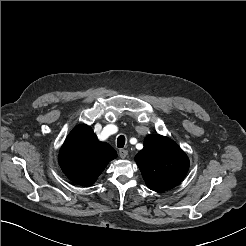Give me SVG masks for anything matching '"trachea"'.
Listing matches in <instances>:
<instances>
[{
	"label": "trachea",
	"mask_w": 246,
	"mask_h": 246,
	"mask_svg": "<svg viewBox=\"0 0 246 246\" xmlns=\"http://www.w3.org/2000/svg\"><path fill=\"white\" fill-rule=\"evenodd\" d=\"M125 145V137L123 135H120L117 139V147L123 148Z\"/></svg>",
	"instance_id": "3493384b"
}]
</instances>
